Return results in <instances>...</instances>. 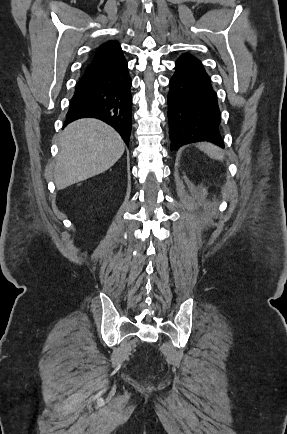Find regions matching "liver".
<instances>
[{"mask_svg": "<svg viewBox=\"0 0 287 434\" xmlns=\"http://www.w3.org/2000/svg\"><path fill=\"white\" fill-rule=\"evenodd\" d=\"M59 147L54 168V181L59 190L107 171L125 150L120 135L93 118L69 124L60 134Z\"/></svg>", "mask_w": 287, "mask_h": 434, "instance_id": "6515ba94", "label": "liver"}]
</instances>
